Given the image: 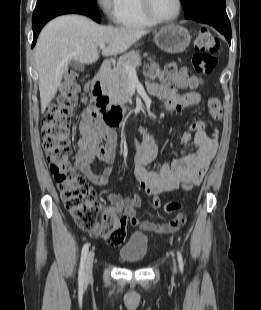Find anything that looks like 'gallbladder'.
Segmentation results:
<instances>
[{"mask_svg":"<svg viewBox=\"0 0 261 310\" xmlns=\"http://www.w3.org/2000/svg\"><path fill=\"white\" fill-rule=\"evenodd\" d=\"M71 66L74 67L75 69H78V70L84 69V65L78 61H75V60H71Z\"/></svg>","mask_w":261,"mask_h":310,"instance_id":"1","label":"gallbladder"}]
</instances>
